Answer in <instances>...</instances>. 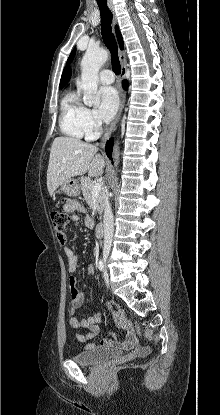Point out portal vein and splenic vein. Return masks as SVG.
Masks as SVG:
<instances>
[{
    "label": "portal vein and splenic vein",
    "mask_w": 220,
    "mask_h": 415,
    "mask_svg": "<svg viewBox=\"0 0 220 415\" xmlns=\"http://www.w3.org/2000/svg\"><path fill=\"white\" fill-rule=\"evenodd\" d=\"M102 186H103V182L101 180L95 181L94 186L92 188V192H91L92 197H96L99 194V192L102 189Z\"/></svg>",
    "instance_id": "1"
}]
</instances>
